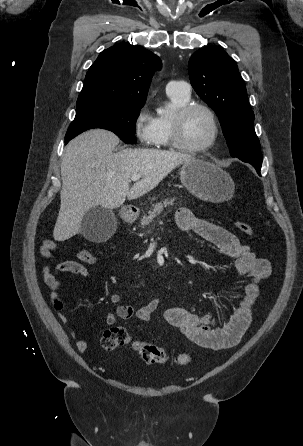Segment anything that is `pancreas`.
Wrapping results in <instances>:
<instances>
[{
	"mask_svg": "<svg viewBox=\"0 0 303 446\" xmlns=\"http://www.w3.org/2000/svg\"><path fill=\"white\" fill-rule=\"evenodd\" d=\"M175 201V198L165 199L163 202H157L155 204H152V208L148 212V214H145L143 218L140 221L141 227H145L149 225L154 218H156L158 215L161 214L164 207H168L169 205H173V202Z\"/></svg>",
	"mask_w": 303,
	"mask_h": 446,
	"instance_id": "obj_1",
	"label": "pancreas"
}]
</instances>
